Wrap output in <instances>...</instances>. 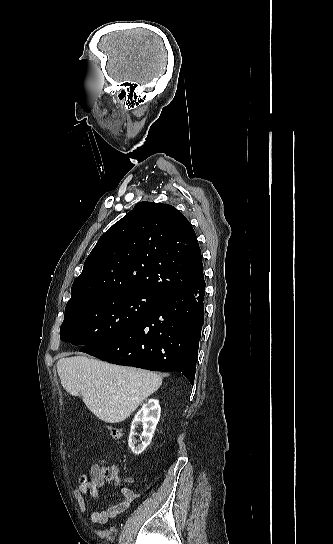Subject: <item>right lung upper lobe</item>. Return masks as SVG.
<instances>
[{
  "label": "right lung upper lobe",
  "instance_id": "obj_1",
  "mask_svg": "<svg viewBox=\"0 0 333 544\" xmlns=\"http://www.w3.org/2000/svg\"><path fill=\"white\" fill-rule=\"evenodd\" d=\"M203 278L201 250L189 221L171 205L140 202L100 237L73 282L68 303L136 291L163 298Z\"/></svg>",
  "mask_w": 333,
  "mask_h": 544
}]
</instances>
